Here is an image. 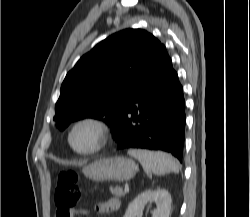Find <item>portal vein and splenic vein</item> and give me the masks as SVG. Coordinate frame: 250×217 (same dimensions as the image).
Listing matches in <instances>:
<instances>
[{
  "instance_id": "18ae733b",
  "label": "portal vein and splenic vein",
  "mask_w": 250,
  "mask_h": 217,
  "mask_svg": "<svg viewBox=\"0 0 250 217\" xmlns=\"http://www.w3.org/2000/svg\"><path fill=\"white\" fill-rule=\"evenodd\" d=\"M125 191H126V192L129 191V186H128V184H125Z\"/></svg>"
}]
</instances>
